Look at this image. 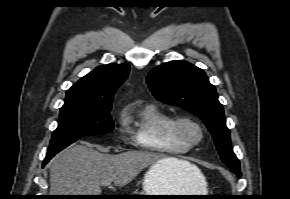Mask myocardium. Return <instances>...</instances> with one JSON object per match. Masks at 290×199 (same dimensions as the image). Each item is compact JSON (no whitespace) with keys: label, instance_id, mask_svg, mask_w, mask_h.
Wrapping results in <instances>:
<instances>
[{"label":"myocardium","instance_id":"myocardium-1","mask_svg":"<svg viewBox=\"0 0 290 199\" xmlns=\"http://www.w3.org/2000/svg\"><path fill=\"white\" fill-rule=\"evenodd\" d=\"M204 133L201 123L188 116L174 118L169 127V134L189 147L199 144L204 138Z\"/></svg>","mask_w":290,"mask_h":199}]
</instances>
